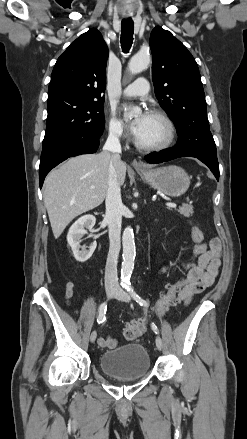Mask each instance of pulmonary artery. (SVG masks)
Instances as JSON below:
<instances>
[{
  "instance_id": "pulmonary-artery-1",
  "label": "pulmonary artery",
  "mask_w": 247,
  "mask_h": 439,
  "mask_svg": "<svg viewBox=\"0 0 247 439\" xmlns=\"http://www.w3.org/2000/svg\"><path fill=\"white\" fill-rule=\"evenodd\" d=\"M149 92V83L145 78H139L128 85L122 92L126 97H143Z\"/></svg>"
}]
</instances>
